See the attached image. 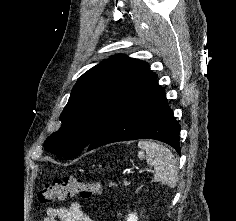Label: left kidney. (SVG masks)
Here are the masks:
<instances>
[{
    "label": "left kidney",
    "mask_w": 236,
    "mask_h": 221,
    "mask_svg": "<svg viewBox=\"0 0 236 221\" xmlns=\"http://www.w3.org/2000/svg\"><path fill=\"white\" fill-rule=\"evenodd\" d=\"M127 221H138L137 213H131L127 217Z\"/></svg>",
    "instance_id": "left-kidney-1"
}]
</instances>
